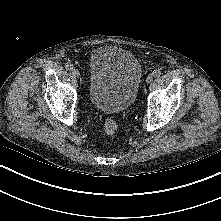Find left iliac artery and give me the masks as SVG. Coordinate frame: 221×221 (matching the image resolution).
<instances>
[{
	"label": "left iliac artery",
	"instance_id": "44dca946",
	"mask_svg": "<svg viewBox=\"0 0 221 221\" xmlns=\"http://www.w3.org/2000/svg\"><path fill=\"white\" fill-rule=\"evenodd\" d=\"M152 75L154 76V77H159L160 75H161V71L160 70H154L153 72H152Z\"/></svg>",
	"mask_w": 221,
	"mask_h": 221
}]
</instances>
